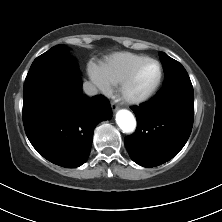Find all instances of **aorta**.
<instances>
[{"instance_id": "762f6f07", "label": "aorta", "mask_w": 222, "mask_h": 222, "mask_svg": "<svg viewBox=\"0 0 222 222\" xmlns=\"http://www.w3.org/2000/svg\"><path fill=\"white\" fill-rule=\"evenodd\" d=\"M116 123L123 133H132L136 129V119L134 115L125 109L116 113Z\"/></svg>"}]
</instances>
